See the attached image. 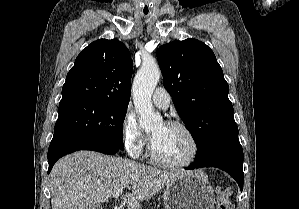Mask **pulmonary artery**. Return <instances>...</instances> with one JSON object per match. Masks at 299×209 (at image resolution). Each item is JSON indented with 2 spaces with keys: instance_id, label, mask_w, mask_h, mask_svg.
I'll use <instances>...</instances> for the list:
<instances>
[{
  "instance_id": "1",
  "label": "pulmonary artery",
  "mask_w": 299,
  "mask_h": 209,
  "mask_svg": "<svg viewBox=\"0 0 299 209\" xmlns=\"http://www.w3.org/2000/svg\"><path fill=\"white\" fill-rule=\"evenodd\" d=\"M152 101L160 109H167L171 102L170 94L162 87H158L152 93Z\"/></svg>"
}]
</instances>
